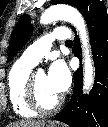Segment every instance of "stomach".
Returning a JSON list of instances; mask_svg holds the SVG:
<instances>
[{"label": "stomach", "instance_id": "1", "mask_svg": "<svg viewBox=\"0 0 108 127\" xmlns=\"http://www.w3.org/2000/svg\"><path fill=\"white\" fill-rule=\"evenodd\" d=\"M46 127H65V126H59V124H56L55 122H50Z\"/></svg>", "mask_w": 108, "mask_h": 127}]
</instances>
